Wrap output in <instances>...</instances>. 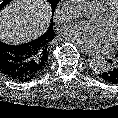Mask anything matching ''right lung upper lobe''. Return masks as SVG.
Segmentation results:
<instances>
[{
  "instance_id": "cb5924a9",
  "label": "right lung upper lobe",
  "mask_w": 118,
  "mask_h": 118,
  "mask_svg": "<svg viewBox=\"0 0 118 118\" xmlns=\"http://www.w3.org/2000/svg\"><path fill=\"white\" fill-rule=\"evenodd\" d=\"M53 23H51L49 30L39 38L31 41L30 45L34 48L36 54V70L41 72L46 67V62L51 47V42L55 36L53 31Z\"/></svg>"
}]
</instances>
